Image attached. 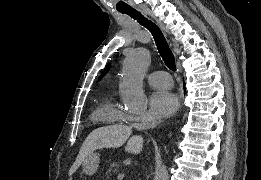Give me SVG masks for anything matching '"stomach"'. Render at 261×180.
<instances>
[{"mask_svg": "<svg viewBox=\"0 0 261 180\" xmlns=\"http://www.w3.org/2000/svg\"><path fill=\"white\" fill-rule=\"evenodd\" d=\"M99 160V154L92 152L82 163L83 172L86 175L95 174L99 165Z\"/></svg>", "mask_w": 261, "mask_h": 180, "instance_id": "1", "label": "stomach"}]
</instances>
